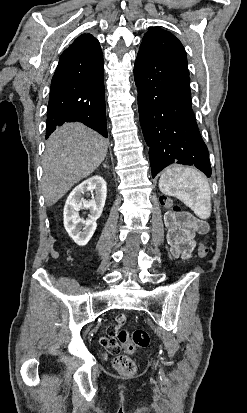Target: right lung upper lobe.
I'll use <instances>...</instances> for the list:
<instances>
[{"label": "right lung upper lobe", "instance_id": "obj_1", "mask_svg": "<svg viewBox=\"0 0 247 413\" xmlns=\"http://www.w3.org/2000/svg\"><path fill=\"white\" fill-rule=\"evenodd\" d=\"M103 64V54L97 39L83 34L63 52L56 70L79 71Z\"/></svg>", "mask_w": 247, "mask_h": 413}]
</instances>
